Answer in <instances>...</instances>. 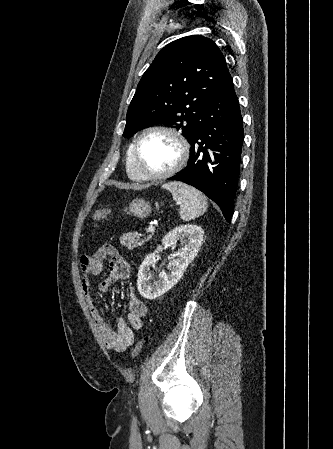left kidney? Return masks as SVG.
Returning <instances> with one entry per match:
<instances>
[{
    "instance_id": "obj_1",
    "label": "left kidney",
    "mask_w": 333,
    "mask_h": 449,
    "mask_svg": "<svg viewBox=\"0 0 333 449\" xmlns=\"http://www.w3.org/2000/svg\"><path fill=\"white\" fill-rule=\"evenodd\" d=\"M203 236V229L195 224L179 226L170 231L163 238L162 245H159L153 253L146 256L140 265L137 279L140 294L147 299H155L170 290L183 277L189 263L198 254L202 246ZM176 244H180L181 250L176 252L177 258L169 263V274L161 272L159 280L151 286L148 283V270L155 265L158 254L163 249L174 247Z\"/></svg>"
}]
</instances>
